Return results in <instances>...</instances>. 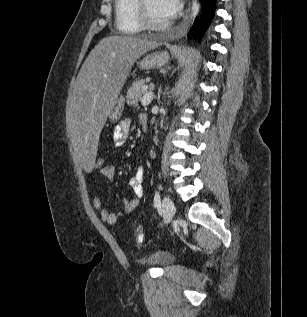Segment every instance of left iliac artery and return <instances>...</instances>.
<instances>
[{"label":"left iliac artery","mask_w":307,"mask_h":317,"mask_svg":"<svg viewBox=\"0 0 307 317\" xmlns=\"http://www.w3.org/2000/svg\"><path fill=\"white\" fill-rule=\"evenodd\" d=\"M161 204V198H160V193L159 191H155L154 195V207H159Z\"/></svg>","instance_id":"left-iliac-artery-1"}]
</instances>
